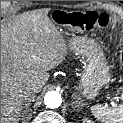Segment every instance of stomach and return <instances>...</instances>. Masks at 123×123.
I'll return each instance as SVG.
<instances>
[{"instance_id": "stomach-1", "label": "stomach", "mask_w": 123, "mask_h": 123, "mask_svg": "<svg viewBox=\"0 0 123 123\" xmlns=\"http://www.w3.org/2000/svg\"><path fill=\"white\" fill-rule=\"evenodd\" d=\"M53 19L56 23L75 33H81L86 28L83 17L76 15L74 11L58 9L53 13ZM75 52L83 56L86 61L77 89L84 97L94 99L99 90L110 81L109 66L105 61V56L92 40L82 39L77 44Z\"/></svg>"}]
</instances>
